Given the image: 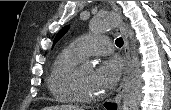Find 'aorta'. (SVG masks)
<instances>
[{
  "label": "aorta",
  "instance_id": "aorta-1",
  "mask_svg": "<svg viewBox=\"0 0 171 110\" xmlns=\"http://www.w3.org/2000/svg\"><path fill=\"white\" fill-rule=\"evenodd\" d=\"M118 26L126 30L132 45L130 65L124 84L122 110H139L142 97V71L132 30L128 29L122 19L114 13L99 14L90 22V28L94 33L110 31Z\"/></svg>",
  "mask_w": 171,
  "mask_h": 110
}]
</instances>
